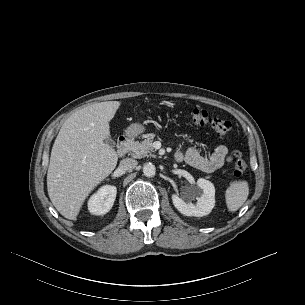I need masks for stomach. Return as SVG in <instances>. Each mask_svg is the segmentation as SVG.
<instances>
[{
	"instance_id": "0dacf381",
	"label": "stomach",
	"mask_w": 305,
	"mask_h": 305,
	"mask_svg": "<svg viewBox=\"0 0 305 305\" xmlns=\"http://www.w3.org/2000/svg\"><path fill=\"white\" fill-rule=\"evenodd\" d=\"M145 131V127L140 123H133L127 127L125 134L128 138H134Z\"/></svg>"
}]
</instances>
